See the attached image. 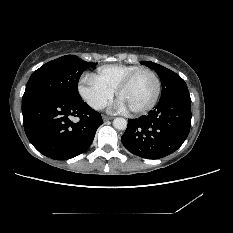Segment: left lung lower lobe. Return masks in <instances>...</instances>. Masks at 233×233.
<instances>
[{"instance_id":"0a47b994","label":"left lung lower lobe","mask_w":233,"mask_h":233,"mask_svg":"<svg viewBox=\"0 0 233 233\" xmlns=\"http://www.w3.org/2000/svg\"><path fill=\"white\" fill-rule=\"evenodd\" d=\"M190 105L189 92L159 102L147 116L128 120L122 144L132 154L146 159L171 154L180 148L189 134Z\"/></svg>"}]
</instances>
